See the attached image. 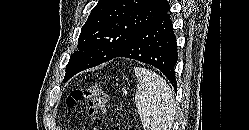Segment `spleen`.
I'll return each mask as SVG.
<instances>
[{"instance_id":"obj_1","label":"spleen","mask_w":249,"mask_h":130,"mask_svg":"<svg viewBox=\"0 0 249 130\" xmlns=\"http://www.w3.org/2000/svg\"><path fill=\"white\" fill-rule=\"evenodd\" d=\"M137 90L135 102L144 130H171L176 104L168 83L146 68H135Z\"/></svg>"}]
</instances>
